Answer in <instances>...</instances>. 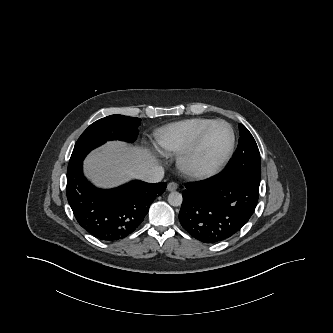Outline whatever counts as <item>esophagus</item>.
Returning <instances> with one entry per match:
<instances>
[{
    "mask_svg": "<svg viewBox=\"0 0 333 333\" xmlns=\"http://www.w3.org/2000/svg\"><path fill=\"white\" fill-rule=\"evenodd\" d=\"M177 188H178V185L175 182H170L167 185V190L170 191V192L177 190Z\"/></svg>",
    "mask_w": 333,
    "mask_h": 333,
    "instance_id": "obj_1",
    "label": "esophagus"
}]
</instances>
